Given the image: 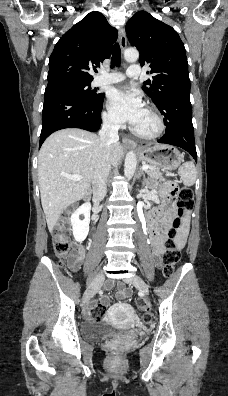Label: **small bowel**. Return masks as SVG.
Returning a JSON list of instances; mask_svg holds the SVG:
<instances>
[{"label": "small bowel", "instance_id": "obj_1", "mask_svg": "<svg viewBox=\"0 0 228 396\" xmlns=\"http://www.w3.org/2000/svg\"><path fill=\"white\" fill-rule=\"evenodd\" d=\"M161 193H162V197L165 201V206L163 208V211L154 210L148 215V217H153V218L157 219L160 224L159 233L157 235L153 236V238L151 240V244L153 246V253L157 258H159L164 251V241H165L167 232L171 226L172 217L174 215V208H173V205L170 203L167 185L162 187ZM188 220H189L188 216H185L183 226L178 231L177 242L180 247H183L186 242V238L188 235ZM84 255H85V247L83 244L78 243L76 246L74 256H73V260L71 262V265L73 268L78 267V265L83 260ZM105 287H106V289L111 288L112 283L111 282L106 283ZM117 288H118L117 297L119 299H124L131 294V292L129 290H127L125 288V286L121 283L117 284ZM100 303L103 306L109 305V303H110L109 297L102 296ZM94 304L95 303H93L90 306V308L86 311L87 316H90L91 307ZM119 308H125L126 310L129 311V308L122 302H120L114 306L115 310H117Z\"/></svg>", "mask_w": 228, "mask_h": 396}]
</instances>
